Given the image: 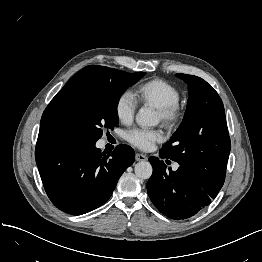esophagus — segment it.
<instances>
[{
    "label": "esophagus",
    "mask_w": 262,
    "mask_h": 262,
    "mask_svg": "<svg viewBox=\"0 0 262 262\" xmlns=\"http://www.w3.org/2000/svg\"><path fill=\"white\" fill-rule=\"evenodd\" d=\"M136 161H146L147 156L144 154L137 153L135 156Z\"/></svg>",
    "instance_id": "1"
}]
</instances>
